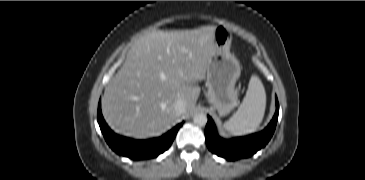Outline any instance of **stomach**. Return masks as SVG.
I'll use <instances>...</instances> for the list:
<instances>
[{
	"mask_svg": "<svg viewBox=\"0 0 365 180\" xmlns=\"http://www.w3.org/2000/svg\"><path fill=\"white\" fill-rule=\"evenodd\" d=\"M214 50L207 67V101L220 116L229 114L237 105L236 81L241 74L238 59L230 52L232 35L224 25L215 26Z\"/></svg>",
	"mask_w": 365,
	"mask_h": 180,
	"instance_id": "1",
	"label": "stomach"
}]
</instances>
